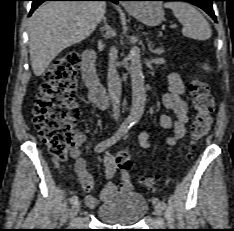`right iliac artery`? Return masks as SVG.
Here are the masks:
<instances>
[{"mask_svg":"<svg viewBox=\"0 0 234 231\" xmlns=\"http://www.w3.org/2000/svg\"><path fill=\"white\" fill-rule=\"evenodd\" d=\"M133 124H134V122L132 120H130V119L125 120L113 136H111L107 140H104L96 145L95 152H98V153L103 152L110 145L118 142L128 132V130L133 126ZM77 201H78L77 195H73L70 198L71 204H73Z\"/></svg>","mask_w":234,"mask_h":231,"instance_id":"right-iliac-artery-1","label":"right iliac artery"}]
</instances>
